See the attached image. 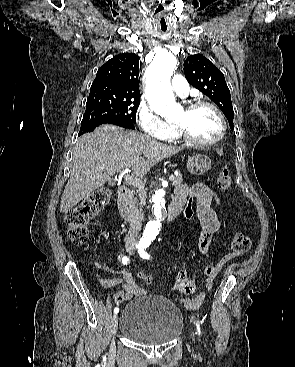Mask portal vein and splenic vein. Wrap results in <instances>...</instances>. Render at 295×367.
Returning a JSON list of instances; mask_svg holds the SVG:
<instances>
[{
  "instance_id": "obj_1",
  "label": "portal vein and splenic vein",
  "mask_w": 295,
  "mask_h": 367,
  "mask_svg": "<svg viewBox=\"0 0 295 367\" xmlns=\"http://www.w3.org/2000/svg\"><path fill=\"white\" fill-rule=\"evenodd\" d=\"M128 169H125V170H123V172L121 173V175L122 176H124V179H125V182L126 183H128V184H130V185H133V186H136V187H138V188H143L144 187V185H143V183H142V181L140 180V179H138L137 177H134V176H130L129 174H128ZM174 179V176L173 175H171L170 177H169V180H173Z\"/></svg>"
}]
</instances>
